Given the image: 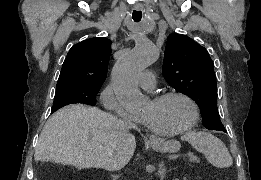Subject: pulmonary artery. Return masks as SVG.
Listing matches in <instances>:
<instances>
[{"label": "pulmonary artery", "mask_w": 261, "mask_h": 180, "mask_svg": "<svg viewBox=\"0 0 261 180\" xmlns=\"http://www.w3.org/2000/svg\"><path fill=\"white\" fill-rule=\"evenodd\" d=\"M138 81L140 88H155L156 75L149 69H145V73H141Z\"/></svg>", "instance_id": "e3ab8cb5"}]
</instances>
